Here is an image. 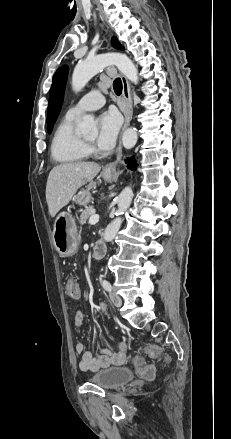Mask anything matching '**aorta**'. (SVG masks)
Wrapping results in <instances>:
<instances>
[{
  "instance_id": "obj_1",
  "label": "aorta",
  "mask_w": 231,
  "mask_h": 439,
  "mask_svg": "<svg viewBox=\"0 0 231 439\" xmlns=\"http://www.w3.org/2000/svg\"><path fill=\"white\" fill-rule=\"evenodd\" d=\"M115 65L118 70L131 82L137 84L138 70L131 59L121 53H106L79 62L73 71L72 88L75 92H79L87 82L105 67ZM78 131L82 135H96L97 127L94 118L90 115H84L78 126ZM137 129L128 128L122 137L123 146L131 149L137 142ZM133 198V191L130 187L122 190L117 199L118 213L122 215L130 206ZM122 224V218L116 217L106 228L104 232V240L110 242L114 239Z\"/></svg>"
}]
</instances>
